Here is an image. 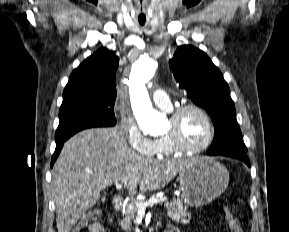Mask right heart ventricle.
Masks as SVG:
<instances>
[{"label": "right heart ventricle", "instance_id": "1", "mask_svg": "<svg viewBox=\"0 0 289 232\" xmlns=\"http://www.w3.org/2000/svg\"><path fill=\"white\" fill-rule=\"evenodd\" d=\"M177 152L169 145L164 136L156 140V150L154 156L156 157H169Z\"/></svg>", "mask_w": 289, "mask_h": 232}]
</instances>
